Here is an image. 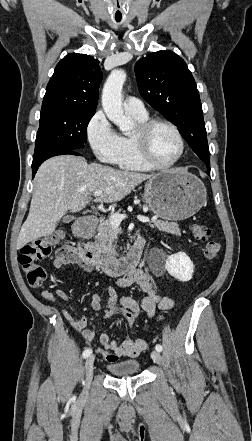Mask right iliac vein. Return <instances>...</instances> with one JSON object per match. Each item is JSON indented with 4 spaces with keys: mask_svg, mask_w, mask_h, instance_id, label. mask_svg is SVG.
<instances>
[{
    "mask_svg": "<svg viewBox=\"0 0 252 441\" xmlns=\"http://www.w3.org/2000/svg\"><path fill=\"white\" fill-rule=\"evenodd\" d=\"M94 360H95V357L92 355V356H89L85 361L86 388L83 393V396L86 395L87 390H88L90 383H91V380H92L93 369H94Z\"/></svg>",
    "mask_w": 252,
    "mask_h": 441,
    "instance_id": "1",
    "label": "right iliac vein"
}]
</instances>
